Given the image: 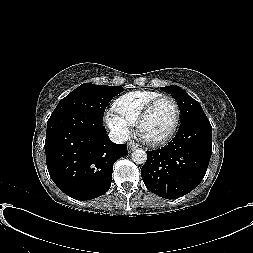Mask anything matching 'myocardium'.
<instances>
[{
    "instance_id": "f54148a6",
    "label": "myocardium",
    "mask_w": 253,
    "mask_h": 253,
    "mask_svg": "<svg viewBox=\"0 0 253 253\" xmlns=\"http://www.w3.org/2000/svg\"><path fill=\"white\" fill-rule=\"evenodd\" d=\"M164 100H169L173 103L174 108H175V112H176V116H175V122L174 125L172 127V129L169 131V133L164 136L161 139L158 140H150L145 138L142 135V127L145 123V121L149 118V116L151 115L152 111L154 110V108L162 101ZM180 121H181V110H180V106L177 102V100L175 98H173L172 96L169 95H162L154 100H152L145 108L144 110L141 112V114L139 115L137 122H136V132H137V136L147 145L149 146H153V147H157V146H163L166 145L167 143H169L174 136L176 135L179 125H180Z\"/></svg>"
}]
</instances>
